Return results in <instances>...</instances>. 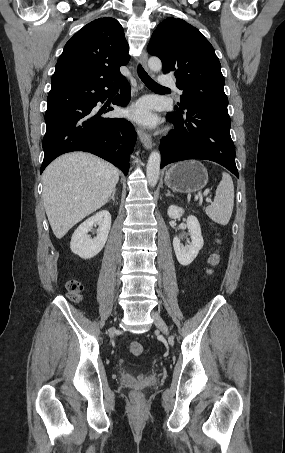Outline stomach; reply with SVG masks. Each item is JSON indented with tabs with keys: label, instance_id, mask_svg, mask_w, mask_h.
Segmentation results:
<instances>
[{
	"label": "stomach",
	"instance_id": "obj_1",
	"mask_svg": "<svg viewBox=\"0 0 285 453\" xmlns=\"http://www.w3.org/2000/svg\"><path fill=\"white\" fill-rule=\"evenodd\" d=\"M164 181L166 186L175 192L194 193L206 186L208 172L199 161H182L169 168Z\"/></svg>",
	"mask_w": 285,
	"mask_h": 453
}]
</instances>
